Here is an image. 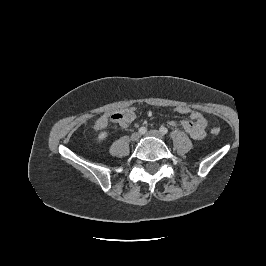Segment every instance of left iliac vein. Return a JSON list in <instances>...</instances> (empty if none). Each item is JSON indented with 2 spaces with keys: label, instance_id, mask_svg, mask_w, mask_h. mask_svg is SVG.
<instances>
[{
  "label": "left iliac vein",
  "instance_id": "4c4485c4",
  "mask_svg": "<svg viewBox=\"0 0 266 266\" xmlns=\"http://www.w3.org/2000/svg\"><path fill=\"white\" fill-rule=\"evenodd\" d=\"M145 135H146V136L156 137V138L161 139V140L164 139L163 134L160 133V132L157 131V130H150V131H148Z\"/></svg>",
  "mask_w": 266,
  "mask_h": 266
}]
</instances>
